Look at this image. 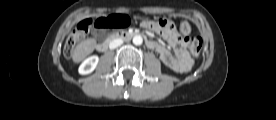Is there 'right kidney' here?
<instances>
[{"label":"right kidney","mask_w":276,"mask_h":120,"mask_svg":"<svg viewBox=\"0 0 276 120\" xmlns=\"http://www.w3.org/2000/svg\"><path fill=\"white\" fill-rule=\"evenodd\" d=\"M99 58L96 55L86 58L79 67V73L82 75L89 74L94 71L98 64Z\"/></svg>","instance_id":"obj_1"}]
</instances>
